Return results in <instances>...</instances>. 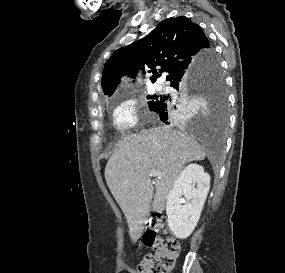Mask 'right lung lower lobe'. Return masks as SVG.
Here are the masks:
<instances>
[{
  "label": "right lung lower lobe",
  "instance_id": "98d812e1",
  "mask_svg": "<svg viewBox=\"0 0 285 273\" xmlns=\"http://www.w3.org/2000/svg\"><path fill=\"white\" fill-rule=\"evenodd\" d=\"M208 61L207 56L202 57L194 67L181 72L174 79H172L170 81L171 86L178 91H186L192 86L196 85L198 82V77L205 71ZM152 111L157 113L161 117V120L166 124H170L174 120L177 121L181 117V115L176 117L171 114L166 101L160 102Z\"/></svg>",
  "mask_w": 285,
  "mask_h": 273
}]
</instances>
